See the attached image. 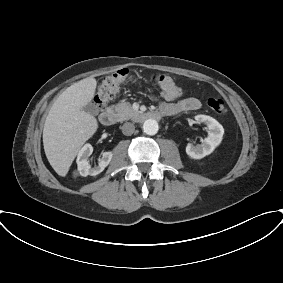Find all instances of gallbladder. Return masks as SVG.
I'll return each mask as SVG.
<instances>
[{
  "label": "gallbladder",
  "instance_id": "1",
  "mask_svg": "<svg viewBox=\"0 0 283 283\" xmlns=\"http://www.w3.org/2000/svg\"><path fill=\"white\" fill-rule=\"evenodd\" d=\"M83 110L91 115H97L98 114V109L93 103H89L86 105Z\"/></svg>",
  "mask_w": 283,
  "mask_h": 283
}]
</instances>
